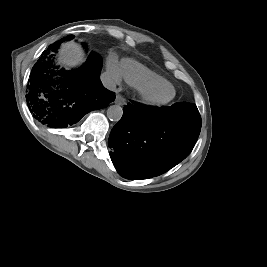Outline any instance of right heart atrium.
<instances>
[{
  "label": "right heart atrium",
  "mask_w": 267,
  "mask_h": 267,
  "mask_svg": "<svg viewBox=\"0 0 267 267\" xmlns=\"http://www.w3.org/2000/svg\"><path fill=\"white\" fill-rule=\"evenodd\" d=\"M106 68L109 79L115 84L120 83L122 80V69L114 55H110L107 58Z\"/></svg>",
  "instance_id": "d8ad5b80"
}]
</instances>
